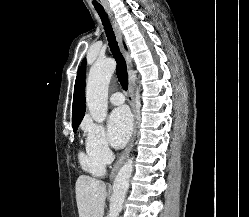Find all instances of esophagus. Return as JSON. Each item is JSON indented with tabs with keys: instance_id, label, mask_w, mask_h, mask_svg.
Listing matches in <instances>:
<instances>
[{
	"instance_id": "esophagus-1",
	"label": "esophagus",
	"mask_w": 249,
	"mask_h": 217,
	"mask_svg": "<svg viewBox=\"0 0 249 217\" xmlns=\"http://www.w3.org/2000/svg\"><path fill=\"white\" fill-rule=\"evenodd\" d=\"M106 11H107V13H108V15L110 17L111 22H112L113 29H114V32H115V36H116L118 45L120 47V50H121V52H122V54H123V56H124V58L126 60L127 67L130 68L132 66V62H131V59H130L128 53L124 49L123 41H122V33H121L120 28H119V25H118L117 21L114 19V17L112 16L111 12L107 8H106ZM127 101L129 103V105L131 107V110H132V113H133V132H132L130 141L128 143V146L123 151L121 157L117 161V163H116V165H115V167H114V169H113V171L111 173V176H110L111 180L114 178L116 171L119 169V167L125 161V159L128 157V155H129V153H130V151H131V149L133 147L135 137H136V132H137V113H136V106H135V100H134V89H133V84H132L131 80L129 81Z\"/></svg>"
}]
</instances>
